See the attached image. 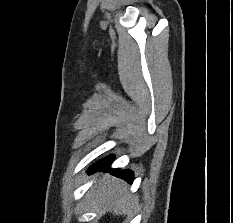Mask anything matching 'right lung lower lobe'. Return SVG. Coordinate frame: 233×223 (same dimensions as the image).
<instances>
[{
	"label": "right lung lower lobe",
	"instance_id": "1",
	"mask_svg": "<svg viewBox=\"0 0 233 223\" xmlns=\"http://www.w3.org/2000/svg\"><path fill=\"white\" fill-rule=\"evenodd\" d=\"M113 161V156H107L104 159L98 161L92 167L89 168L88 173H94L96 171H111L112 174L127 180L129 183L133 181V173L130 170H112L110 164Z\"/></svg>",
	"mask_w": 233,
	"mask_h": 223
}]
</instances>
